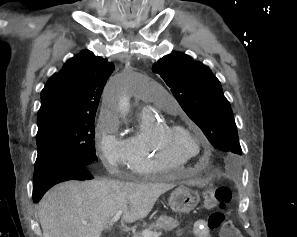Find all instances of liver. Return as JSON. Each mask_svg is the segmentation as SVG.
<instances>
[{"mask_svg":"<svg viewBox=\"0 0 297 237\" xmlns=\"http://www.w3.org/2000/svg\"><path fill=\"white\" fill-rule=\"evenodd\" d=\"M173 184L122 183L115 180L65 182L47 192L38 204L43 237H100L109 220L123 211V222L145 218L160 195ZM82 221H87L84 225Z\"/></svg>","mask_w":297,"mask_h":237,"instance_id":"obj_1","label":"liver"}]
</instances>
